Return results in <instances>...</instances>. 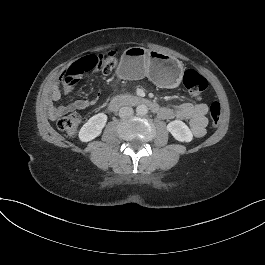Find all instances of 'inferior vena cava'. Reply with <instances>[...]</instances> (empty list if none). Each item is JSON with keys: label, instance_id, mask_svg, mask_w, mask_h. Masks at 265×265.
I'll return each instance as SVG.
<instances>
[{"label": "inferior vena cava", "instance_id": "inferior-vena-cava-1", "mask_svg": "<svg viewBox=\"0 0 265 265\" xmlns=\"http://www.w3.org/2000/svg\"><path fill=\"white\" fill-rule=\"evenodd\" d=\"M133 114V109L131 107H122L119 110V116L120 118H125L128 116H131Z\"/></svg>", "mask_w": 265, "mask_h": 265}]
</instances>
